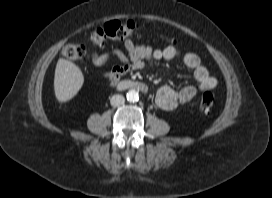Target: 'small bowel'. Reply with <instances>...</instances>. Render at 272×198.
Wrapping results in <instances>:
<instances>
[{
	"label": "small bowel",
	"instance_id": "1",
	"mask_svg": "<svg viewBox=\"0 0 272 198\" xmlns=\"http://www.w3.org/2000/svg\"><path fill=\"white\" fill-rule=\"evenodd\" d=\"M123 46V50L115 48L105 53H94L93 55V63L97 67L103 66L111 58H116L120 62V65L114 66L102 74V77L111 86L117 85L125 74L144 69L162 60L181 59L183 64L192 70L198 87L173 88L164 85L157 90L155 103L163 110H174L179 105L190 102L199 91L212 90L217 85L216 78L209 74L206 67L201 64L198 55L194 53H182L174 46L153 49L149 45L136 43L129 38L123 40Z\"/></svg>",
	"mask_w": 272,
	"mask_h": 198
}]
</instances>
